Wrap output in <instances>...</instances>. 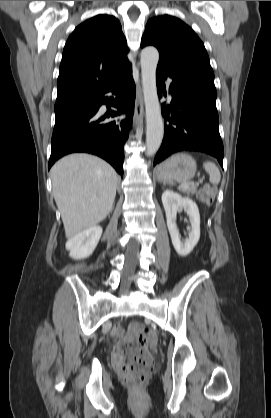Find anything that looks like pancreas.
I'll return each instance as SVG.
<instances>
[{
	"instance_id": "1",
	"label": "pancreas",
	"mask_w": 271,
	"mask_h": 418,
	"mask_svg": "<svg viewBox=\"0 0 271 418\" xmlns=\"http://www.w3.org/2000/svg\"><path fill=\"white\" fill-rule=\"evenodd\" d=\"M198 185H192L187 189H183L182 191L187 193L188 195H194L197 190Z\"/></svg>"
}]
</instances>
